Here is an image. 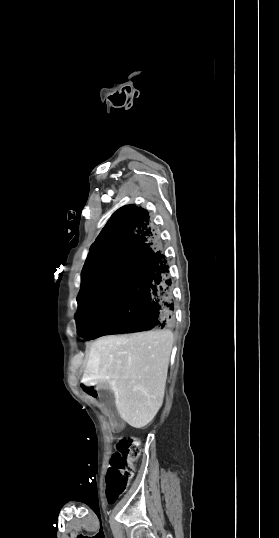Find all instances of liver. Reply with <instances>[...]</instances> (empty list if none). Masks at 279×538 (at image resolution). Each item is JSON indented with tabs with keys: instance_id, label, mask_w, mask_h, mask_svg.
<instances>
[{
	"instance_id": "1",
	"label": "liver",
	"mask_w": 279,
	"mask_h": 538,
	"mask_svg": "<svg viewBox=\"0 0 279 538\" xmlns=\"http://www.w3.org/2000/svg\"><path fill=\"white\" fill-rule=\"evenodd\" d=\"M173 342L171 330L103 336L90 348L83 378L112 390L120 418L144 428L163 404Z\"/></svg>"
}]
</instances>
